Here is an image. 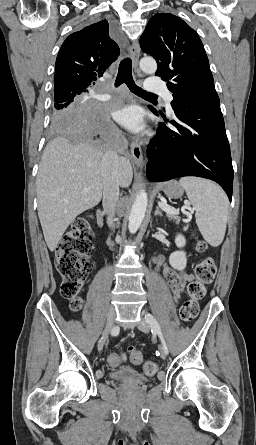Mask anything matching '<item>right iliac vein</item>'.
Wrapping results in <instances>:
<instances>
[{"mask_svg": "<svg viewBox=\"0 0 256 445\" xmlns=\"http://www.w3.org/2000/svg\"><path fill=\"white\" fill-rule=\"evenodd\" d=\"M114 317H115V308L113 306H110L109 310H108V315H107V321H106L105 329H104V331L102 333L101 339L98 342V349H99V351H101L103 349L105 339L107 338L108 334L110 333V331H111V329L113 327Z\"/></svg>", "mask_w": 256, "mask_h": 445, "instance_id": "obj_1", "label": "right iliac vein"}]
</instances>
